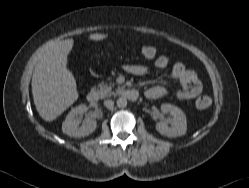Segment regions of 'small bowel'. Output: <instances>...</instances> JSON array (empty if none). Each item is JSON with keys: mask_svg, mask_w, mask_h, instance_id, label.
Here are the masks:
<instances>
[{"mask_svg": "<svg viewBox=\"0 0 249 188\" xmlns=\"http://www.w3.org/2000/svg\"><path fill=\"white\" fill-rule=\"evenodd\" d=\"M169 65L168 57L161 55L155 61L156 68L164 69ZM126 72L134 76H145L150 73V68L144 65H126ZM171 78L179 83L180 90L177 96L181 100H189L197 97L202 91V84L197 77V74L190 69H187L182 63H175L171 70ZM168 93V88L163 85H157L149 88L146 91V96L149 99H158Z\"/></svg>", "mask_w": 249, "mask_h": 188, "instance_id": "small-bowel-1", "label": "small bowel"}]
</instances>
